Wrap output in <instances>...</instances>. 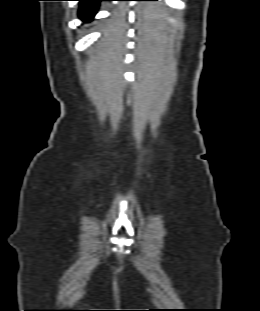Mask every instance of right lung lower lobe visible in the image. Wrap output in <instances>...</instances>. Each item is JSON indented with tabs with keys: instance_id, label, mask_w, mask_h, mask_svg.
<instances>
[{
	"instance_id": "98d812e1",
	"label": "right lung lower lobe",
	"mask_w": 260,
	"mask_h": 311,
	"mask_svg": "<svg viewBox=\"0 0 260 311\" xmlns=\"http://www.w3.org/2000/svg\"><path fill=\"white\" fill-rule=\"evenodd\" d=\"M80 2L79 17L89 22L97 12L99 2L103 0H78Z\"/></svg>"
}]
</instances>
